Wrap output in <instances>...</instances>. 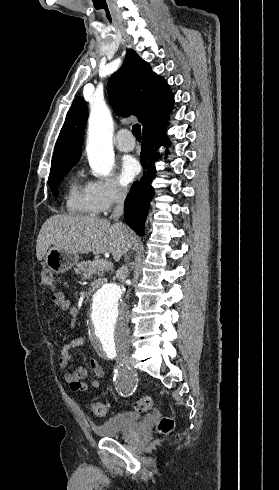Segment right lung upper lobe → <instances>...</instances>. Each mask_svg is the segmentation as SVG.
<instances>
[{
	"instance_id": "cb5924a9",
	"label": "right lung upper lobe",
	"mask_w": 279,
	"mask_h": 490,
	"mask_svg": "<svg viewBox=\"0 0 279 490\" xmlns=\"http://www.w3.org/2000/svg\"><path fill=\"white\" fill-rule=\"evenodd\" d=\"M107 92L118 115L138 117L143 125V134L168 125L167 115L174 103L169 86L134 50L127 51L122 67L110 77ZM86 120L84 100L77 97L57 139L51 171L78 162Z\"/></svg>"
}]
</instances>
